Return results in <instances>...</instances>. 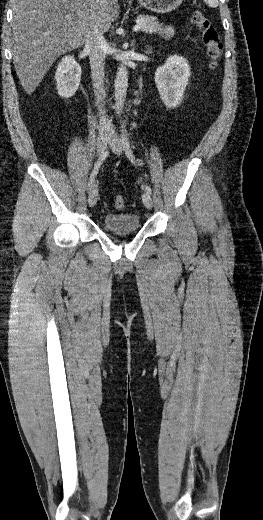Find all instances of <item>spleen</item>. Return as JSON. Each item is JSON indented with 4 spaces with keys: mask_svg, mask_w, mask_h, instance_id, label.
I'll return each mask as SVG.
<instances>
[{
    "mask_svg": "<svg viewBox=\"0 0 263 520\" xmlns=\"http://www.w3.org/2000/svg\"><path fill=\"white\" fill-rule=\"evenodd\" d=\"M209 7L216 8L218 7V0H205Z\"/></svg>",
    "mask_w": 263,
    "mask_h": 520,
    "instance_id": "obj_1",
    "label": "spleen"
}]
</instances>
